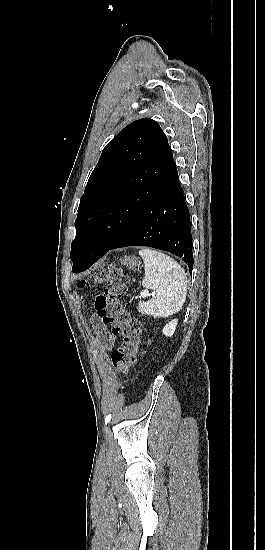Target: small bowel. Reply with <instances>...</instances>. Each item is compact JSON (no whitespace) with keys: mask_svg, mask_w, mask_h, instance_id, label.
<instances>
[{"mask_svg":"<svg viewBox=\"0 0 265 550\" xmlns=\"http://www.w3.org/2000/svg\"><path fill=\"white\" fill-rule=\"evenodd\" d=\"M94 323L101 331L99 336V348L101 352L106 354L113 352L117 337L108 331L107 325L100 318H96Z\"/></svg>","mask_w":265,"mask_h":550,"instance_id":"c3829d8e","label":"small bowel"}]
</instances>
